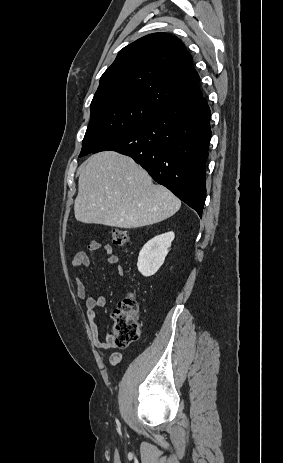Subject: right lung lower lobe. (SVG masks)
Wrapping results in <instances>:
<instances>
[{"instance_id":"98d812e1","label":"right lung lower lobe","mask_w":283,"mask_h":463,"mask_svg":"<svg viewBox=\"0 0 283 463\" xmlns=\"http://www.w3.org/2000/svg\"><path fill=\"white\" fill-rule=\"evenodd\" d=\"M210 108L202 95L177 102L93 151L132 157L159 184L202 215L205 164L211 137Z\"/></svg>"}]
</instances>
